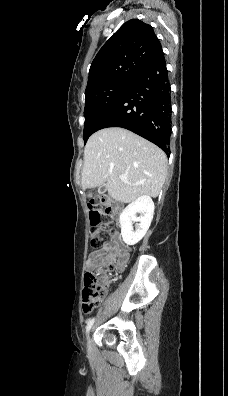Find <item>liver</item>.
Wrapping results in <instances>:
<instances>
[{"label":"liver","instance_id":"1","mask_svg":"<svg viewBox=\"0 0 228 396\" xmlns=\"http://www.w3.org/2000/svg\"><path fill=\"white\" fill-rule=\"evenodd\" d=\"M125 175L127 181L119 179ZM167 176V157L155 144L119 128L95 132L84 149L82 187L104 185L116 201L129 203L143 195L157 197Z\"/></svg>","mask_w":228,"mask_h":396}]
</instances>
